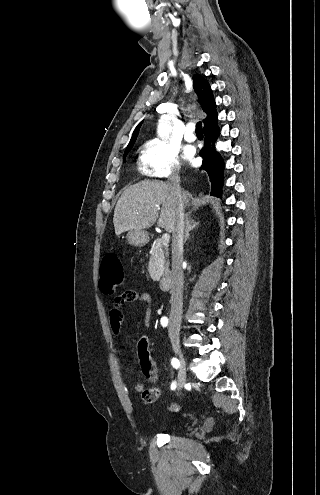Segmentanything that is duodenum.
Returning <instances> with one entry per match:
<instances>
[{"label":"duodenum","mask_w":320,"mask_h":495,"mask_svg":"<svg viewBox=\"0 0 320 495\" xmlns=\"http://www.w3.org/2000/svg\"><path fill=\"white\" fill-rule=\"evenodd\" d=\"M172 283V274L171 271H167L163 274V276L159 280V285L162 290H167Z\"/></svg>","instance_id":"410a0bca"}]
</instances>
